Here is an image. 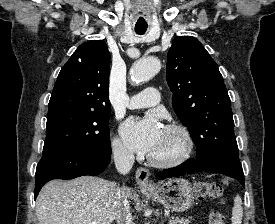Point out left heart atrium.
I'll use <instances>...</instances> for the list:
<instances>
[{
  "instance_id": "1",
  "label": "left heart atrium",
  "mask_w": 275,
  "mask_h": 224,
  "mask_svg": "<svg viewBox=\"0 0 275 224\" xmlns=\"http://www.w3.org/2000/svg\"><path fill=\"white\" fill-rule=\"evenodd\" d=\"M163 130L154 115L129 118L121 126L124 142L129 149L139 154L153 153L162 138Z\"/></svg>"
}]
</instances>
